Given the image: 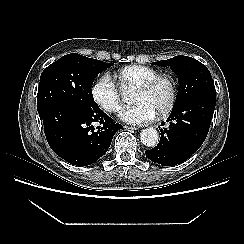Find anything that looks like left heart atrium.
<instances>
[{"mask_svg": "<svg viewBox=\"0 0 244 244\" xmlns=\"http://www.w3.org/2000/svg\"><path fill=\"white\" fill-rule=\"evenodd\" d=\"M156 116L154 109L145 103H138L134 106L123 109L119 113L121 120L132 124L140 125L153 120Z\"/></svg>", "mask_w": 244, "mask_h": 244, "instance_id": "39dd6f15", "label": "left heart atrium"}]
</instances>
